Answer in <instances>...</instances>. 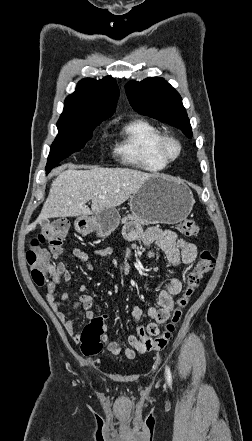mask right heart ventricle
Instances as JSON below:
<instances>
[{
    "instance_id": "obj_1",
    "label": "right heart ventricle",
    "mask_w": 252,
    "mask_h": 441,
    "mask_svg": "<svg viewBox=\"0 0 252 441\" xmlns=\"http://www.w3.org/2000/svg\"><path fill=\"white\" fill-rule=\"evenodd\" d=\"M161 136L159 129L148 120L130 119L121 128L115 152L131 166L147 172L162 171L168 163L156 153V144Z\"/></svg>"
}]
</instances>
